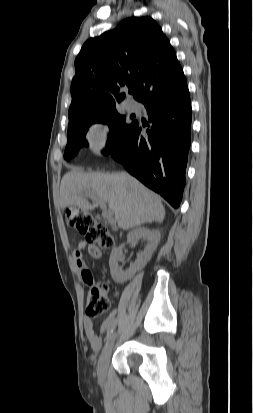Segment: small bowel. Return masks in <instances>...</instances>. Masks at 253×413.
<instances>
[{"label":"small bowel","instance_id":"c3829d8e","mask_svg":"<svg viewBox=\"0 0 253 413\" xmlns=\"http://www.w3.org/2000/svg\"><path fill=\"white\" fill-rule=\"evenodd\" d=\"M84 249H87L90 256L95 259H100L102 257V251L97 246L89 244L86 241H82L73 252V260L82 280L86 284L90 285L93 282V277L91 271L89 270L83 259ZM116 316V311H111L102 323L99 333H96L94 323L91 318L86 317L84 319L85 335L93 350H99L101 348L103 342L102 335L104 333H108L112 325L117 322Z\"/></svg>","mask_w":253,"mask_h":413}]
</instances>
